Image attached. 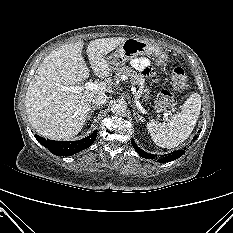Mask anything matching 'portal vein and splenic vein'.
<instances>
[{
  "mask_svg": "<svg viewBox=\"0 0 233 233\" xmlns=\"http://www.w3.org/2000/svg\"><path fill=\"white\" fill-rule=\"evenodd\" d=\"M121 79L127 80L128 77L126 75H122ZM61 88L64 91H71L74 93H78V92L83 91V90H95V91H97V90H107L108 89L104 86H101L99 84L92 83V82H87L83 86H62ZM132 91H134L133 88H132ZM136 105L143 113L145 112V110L142 108V106L139 104V102L137 100H136ZM163 115H164V117L167 118L168 115H170V114L165 112Z\"/></svg>",
  "mask_w": 233,
  "mask_h": 233,
  "instance_id": "18ae733b",
  "label": "portal vein and splenic vein"
}]
</instances>
